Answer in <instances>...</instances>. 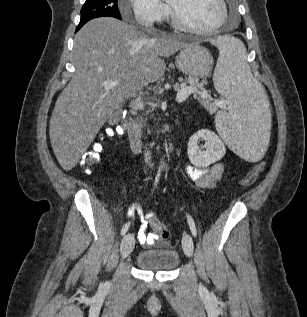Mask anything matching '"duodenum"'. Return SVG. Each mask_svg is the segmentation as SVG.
<instances>
[{"label": "duodenum", "instance_id": "410a0bca", "mask_svg": "<svg viewBox=\"0 0 307 317\" xmlns=\"http://www.w3.org/2000/svg\"><path fill=\"white\" fill-rule=\"evenodd\" d=\"M124 121L129 122V127L127 129V135L133 150L138 151L143 145V135L136 124L132 115H128L124 118Z\"/></svg>", "mask_w": 307, "mask_h": 317}]
</instances>
